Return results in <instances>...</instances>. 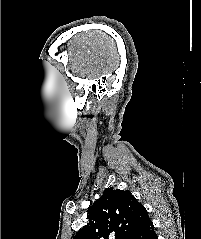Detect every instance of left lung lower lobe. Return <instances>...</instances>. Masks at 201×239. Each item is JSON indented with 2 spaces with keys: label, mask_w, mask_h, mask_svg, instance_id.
<instances>
[{
  "label": "left lung lower lobe",
  "mask_w": 201,
  "mask_h": 239,
  "mask_svg": "<svg viewBox=\"0 0 201 239\" xmlns=\"http://www.w3.org/2000/svg\"><path fill=\"white\" fill-rule=\"evenodd\" d=\"M130 239H158L152 221L146 222Z\"/></svg>",
  "instance_id": "0a47b994"
}]
</instances>
